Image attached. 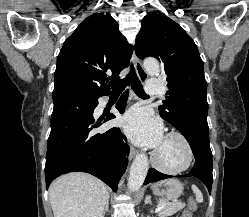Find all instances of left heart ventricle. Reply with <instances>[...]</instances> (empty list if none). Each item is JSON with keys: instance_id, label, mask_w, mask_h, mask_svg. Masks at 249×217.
I'll return each instance as SVG.
<instances>
[{"instance_id": "1", "label": "left heart ventricle", "mask_w": 249, "mask_h": 217, "mask_svg": "<svg viewBox=\"0 0 249 217\" xmlns=\"http://www.w3.org/2000/svg\"><path fill=\"white\" fill-rule=\"evenodd\" d=\"M158 156L164 164L175 166L182 162L184 149L175 139L163 140L162 144L158 147Z\"/></svg>"}]
</instances>
